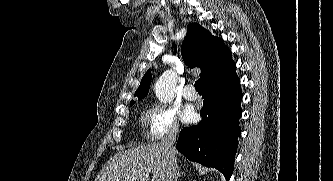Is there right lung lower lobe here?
I'll use <instances>...</instances> for the list:
<instances>
[{"mask_svg": "<svg viewBox=\"0 0 333 181\" xmlns=\"http://www.w3.org/2000/svg\"><path fill=\"white\" fill-rule=\"evenodd\" d=\"M202 119L198 125L181 130L176 149L191 161L213 167L228 181L233 173L237 138L241 133L242 91L233 73L221 81L202 88Z\"/></svg>", "mask_w": 333, "mask_h": 181, "instance_id": "98d812e1", "label": "right lung lower lobe"}]
</instances>
